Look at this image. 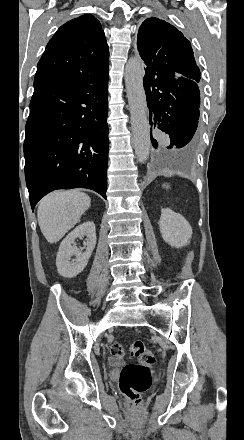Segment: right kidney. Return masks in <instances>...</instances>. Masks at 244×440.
Instances as JSON below:
<instances>
[{"label":"right kidney","instance_id":"1","mask_svg":"<svg viewBox=\"0 0 244 440\" xmlns=\"http://www.w3.org/2000/svg\"><path fill=\"white\" fill-rule=\"evenodd\" d=\"M86 236L87 246L86 252H79L78 248L72 246L76 238ZM96 246V230L94 222H84L81 226H77L71 234H68L60 244L56 258V266L58 274L63 278H75L87 266L89 258ZM71 256H76V260L70 262Z\"/></svg>","mask_w":244,"mask_h":440}]
</instances>
